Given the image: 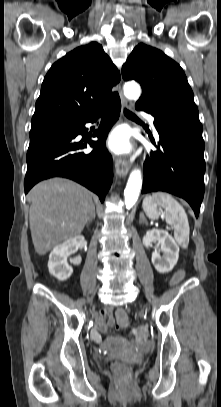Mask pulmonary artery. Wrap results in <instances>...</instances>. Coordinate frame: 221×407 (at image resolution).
I'll list each match as a JSON object with an SVG mask.
<instances>
[{
	"label": "pulmonary artery",
	"instance_id": "pulmonary-artery-1",
	"mask_svg": "<svg viewBox=\"0 0 221 407\" xmlns=\"http://www.w3.org/2000/svg\"><path fill=\"white\" fill-rule=\"evenodd\" d=\"M147 119H148V121L150 122V124L153 126V128L155 129V127H154V118L151 116V115H148V114H145V113H142Z\"/></svg>",
	"mask_w": 221,
	"mask_h": 407
}]
</instances>
